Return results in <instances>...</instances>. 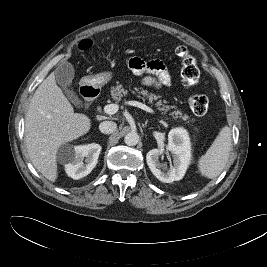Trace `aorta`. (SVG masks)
Returning <instances> with one entry per match:
<instances>
[{
	"mask_svg": "<svg viewBox=\"0 0 267 267\" xmlns=\"http://www.w3.org/2000/svg\"><path fill=\"white\" fill-rule=\"evenodd\" d=\"M124 142L128 146H135L139 142V135L137 132H129L124 137Z\"/></svg>",
	"mask_w": 267,
	"mask_h": 267,
	"instance_id": "aorta-1",
	"label": "aorta"
}]
</instances>
